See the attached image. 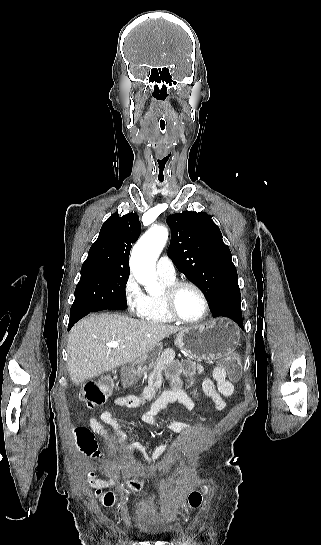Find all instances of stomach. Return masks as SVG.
<instances>
[{
	"label": "stomach",
	"instance_id": "obj_1",
	"mask_svg": "<svg viewBox=\"0 0 321 545\" xmlns=\"http://www.w3.org/2000/svg\"><path fill=\"white\" fill-rule=\"evenodd\" d=\"M239 341L240 329L229 319H213L203 325L186 327L177 333L175 339L178 349H182L193 359H205V361H214L226 353H232L238 347ZM161 351L162 345H156L152 351L138 357L127 367H121L122 377L136 379L139 375L148 373L155 367Z\"/></svg>",
	"mask_w": 321,
	"mask_h": 545
}]
</instances>
